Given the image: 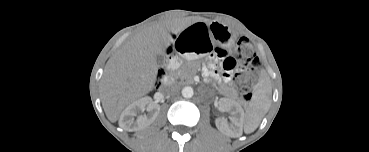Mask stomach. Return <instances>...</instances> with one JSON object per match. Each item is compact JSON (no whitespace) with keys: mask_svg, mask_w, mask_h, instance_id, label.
Returning a JSON list of instances; mask_svg holds the SVG:
<instances>
[{"mask_svg":"<svg viewBox=\"0 0 369 152\" xmlns=\"http://www.w3.org/2000/svg\"><path fill=\"white\" fill-rule=\"evenodd\" d=\"M212 29V26H211ZM231 31L224 25L219 26V34L218 35H212L213 38L220 41V43L223 46H230L232 44V37H231Z\"/></svg>","mask_w":369,"mask_h":152,"instance_id":"obj_1","label":"stomach"}]
</instances>
